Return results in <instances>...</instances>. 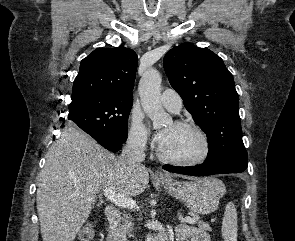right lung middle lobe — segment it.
I'll use <instances>...</instances> for the list:
<instances>
[{
	"instance_id": "dd1d6c3e",
	"label": "right lung middle lobe",
	"mask_w": 295,
	"mask_h": 241,
	"mask_svg": "<svg viewBox=\"0 0 295 241\" xmlns=\"http://www.w3.org/2000/svg\"><path fill=\"white\" fill-rule=\"evenodd\" d=\"M132 103L115 98H86L70 104L68 118L90 135L125 142Z\"/></svg>"
}]
</instances>
